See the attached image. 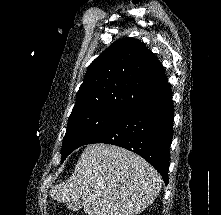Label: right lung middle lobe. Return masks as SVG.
Returning <instances> with one entry per match:
<instances>
[{
    "label": "right lung middle lobe",
    "mask_w": 221,
    "mask_h": 215,
    "mask_svg": "<svg viewBox=\"0 0 221 215\" xmlns=\"http://www.w3.org/2000/svg\"><path fill=\"white\" fill-rule=\"evenodd\" d=\"M120 116L119 114L101 110L71 113L63 139L61 162H63L72 151L85 145L91 138L103 131Z\"/></svg>",
    "instance_id": "obj_1"
}]
</instances>
